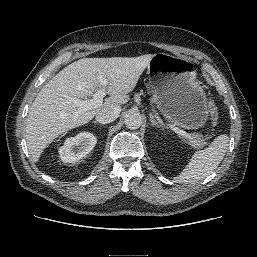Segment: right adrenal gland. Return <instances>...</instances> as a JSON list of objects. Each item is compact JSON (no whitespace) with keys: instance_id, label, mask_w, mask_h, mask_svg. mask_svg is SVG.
I'll list each match as a JSON object with an SVG mask.
<instances>
[{"instance_id":"obj_1","label":"right adrenal gland","mask_w":257,"mask_h":257,"mask_svg":"<svg viewBox=\"0 0 257 257\" xmlns=\"http://www.w3.org/2000/svg\"><path fill=\"white\" fill-rule=\"evenodd\" d=\"M93 123H94L95 125H98L96 121H93Z\"/></svg>"}]
</instances>
